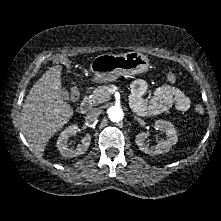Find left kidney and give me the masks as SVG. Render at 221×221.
Listing matches in <instances>:
<instances>
[{
  "label": "left kidney",
  "mask_w": 221,
  "mask_h": 221,
  "mask_svg": "<svg viewBox=\"0 0 221 221\" xmlns=\"http://www.w3.org/2000/svg\"><path fill=\"white\" fill-rule=\"evenodd\" d=\"M155 126L158 130L164 131L166 134V140L161 141L156 146L148 147L145 144V140L148 136L147 133L141 132L136 135L135 142L138 145L139 149L146 154L156 155L164 152H168L170 148L177 143L178 137L176 130L172 123L164 120H157Z\"/></svg>",
  "instance_id": "1"
}]
</instances>
